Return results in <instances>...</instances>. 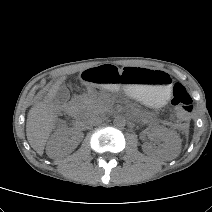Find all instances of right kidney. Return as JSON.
Segmentation results:
<instances>
[{
    "mask_svg": "<svg viewBox=\"0 0 212 212\" xmlns=\"http://www.w3.org/2000/svg\"><path fill=\"white\" fill-rule=\"evenodd\" d=\"M83 137L79 130L59 126L47 144L46 153L52 159L61 158L70 154Z\"/></svg>",
    "mask_w": 212,
    "mask_h": 212,
    "instance_id": "obj_1",
    "label": "right kidney"
}]
</instances>
